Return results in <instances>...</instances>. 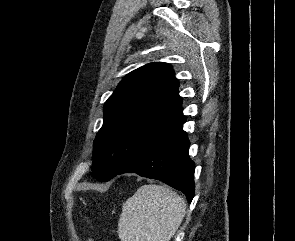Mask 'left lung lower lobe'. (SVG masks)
Listing matches in <instances>:
<instances>
[{"instance_id": "0a47b994", "label": "left lung lower lobe", "mask_w": 295, "mask_h": 241, "mask_svg": "<svg viewBox=\"0 0 295 241\" xmlns=\"http://www.w3.org/2000/svg\"><path fill=\"white\" fill-rule=\"evenodd\" d=\"M183 123L151 142L111 179L123 173L157 179L183 192L187 201L191 202L194 197L195 166L189 158L190 142L187 133L182 130Z\"/></svg>"}]
</instances>
